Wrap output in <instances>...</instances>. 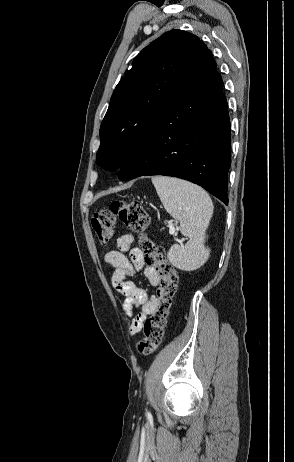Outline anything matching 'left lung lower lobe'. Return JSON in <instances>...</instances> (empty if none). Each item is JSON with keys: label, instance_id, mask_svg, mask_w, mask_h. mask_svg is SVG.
Here are the masks:
<instances>
[{"label": "left lung lower lobe", "instance_id": "1", "mask_svg": "<svg viewBox=\"0 0 294 462\" xmlns=\"http://www.w3.org/2000/svg\"><path fill=\"white\" fill-rule=\"evenodd\" d=\"M216 69L188 85L126 158L120 180L165 175L198 184L228 204L230 121Z\"/></svg>", "mask_w": 294, "mask_h": 462}]
</instances>
